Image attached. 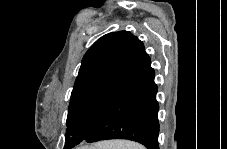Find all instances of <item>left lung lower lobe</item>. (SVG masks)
<instances>
[{
  "mask_svg": "<svg viewBox=\"0 0 227 149\" xmlns=\"http://www.w3.org/2000/svg\"><path fill=\"white\" fill-rule=\"evenodd\" d=\"M154 76L151 60L143 49L127 85L84 142L128 139L148 149H159V106Z\"/></svg>",
  "mask_w": 227,
  "mask_h": 149,
  "instance_id": "0a47b994",
  "label": "left lung lower lobe"
}]
</instances>
